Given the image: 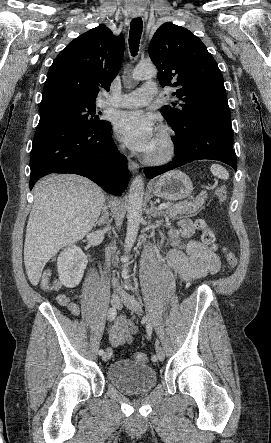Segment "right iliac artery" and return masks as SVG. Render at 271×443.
<instances>
[{"instance_id": "right-iliac-artery-1", "label": "right iliac artery", "mask_w": 271, "mask_h": 443, "mask_svg": "<svg viewBox=\"0 0 271 443\" xmlns=\"http://www.w3.org/2000/svg\"><path fill=\"white\" fill-rule=\"evenodd\" d=\"M116 314H117V311H116V308H115V307H112V308H110V309L108 310V319H109L110 322H112V321L115 319ZM103 354H104V350H103V349H100V350H99V355L101 356V355H103Z\"/></svg>"}]
</instances>
